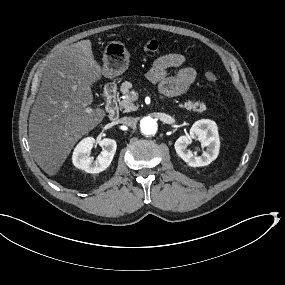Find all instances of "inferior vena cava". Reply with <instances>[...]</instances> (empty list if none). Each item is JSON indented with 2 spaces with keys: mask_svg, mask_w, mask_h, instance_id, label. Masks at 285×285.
<instances>
[{
  "mask_svg": "<svg viewBox=\"0 0 285 285\" xmlns=\"http://www.w3.org/2000/svg\"><path fill=\"white\" fill-rule=\"evenodd\" d=\"M120 122L126 126L134 127L137 120L134 117H123Z\"/></svg>",
  "mask_w": 285,
  "mask_h": 285,
  "instance_id": "obj_1",
  "label": "inferior vena cava"
}]
</instances>
